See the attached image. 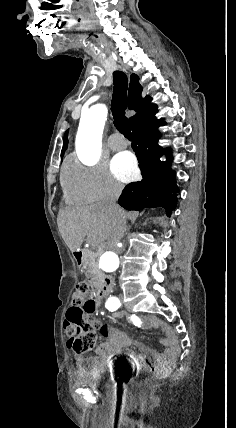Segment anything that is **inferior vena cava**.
Wrapping results in <instances>:
<instances>
[{
	"instance_id": "obj_1",
	"label": "inferior vena cava",
	"mask_w": 236,
	"mask_h": 428,
	"mask_svg": "<svg viewBox=\"0 0 236 428\" xmlns=\"http://www.w3.org/2000/svg\"><path fill=\"white\" fill-rule=\"evenodd\" d=\"M106 184L108 190L106 206L108 210H111V212H114V214H116L115 223L118 226H121L124 223L123 212L120 206L116 204V202L118 200V196H120L121 194L122 186L121 184H118V182H115V180H112V178H106Z\"/></svg>"
}]
</instances>
